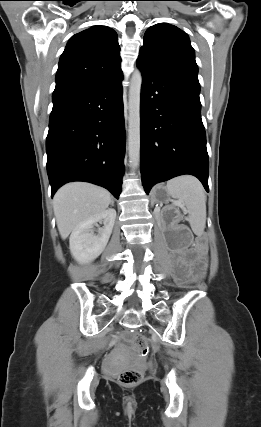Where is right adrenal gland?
I'll return each instance as SVG.
<instances>
[{
  "mask_svg": "<svg viewBox=\"0 0 261 427\" xmlns=\"http://www.w3.org/2000/svg\"><path fill=\"white\" fill-rule=\"evenodd\" d=\"M111 206H114V201L113 200L111 201Z\"/></svg>",
  "mask_w": 261,
  "mask_h": 427,
  "instance_id": "2a0ac1e0",
  "label": "right adrenal gland"
}]
</instances>
